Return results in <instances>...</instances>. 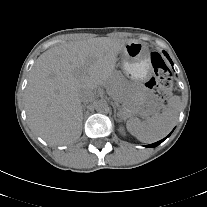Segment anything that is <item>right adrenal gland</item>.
<instances>
[{
  "label": "right adrenal gland",
  "mask_w": 207,
  "mask_h": 207,
  "mask_svg": "<svg viewBox=\"0 0 207 207\" xmlns=\"http://www.w3.org/2000/svg\"><path fill=\"white\" fill-rule=\"evenodd\" d=\"M86 104L82 105V109L85 112Z\"/></svg>",
  "instance_id": "1"
}]
</instances>
